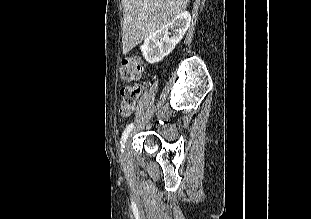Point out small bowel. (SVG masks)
<instances>
[{
  "mask_svg": "<svg viewBox=\"0 0 311 219\" xmlns=\"http://www.w3.org/2000/svg\"><path fill=\"white\" fill-rule=\"evenodd\" d=\"M134 109V107L127 108L123 104H121L120 113L123 116H129L134 111Z\"/></svg>",
  "mask_w": 311,
  "mask_h": 219,
  "instance_id": "c3829d8e",
  "label": "small bowel"
}]
</instances>
